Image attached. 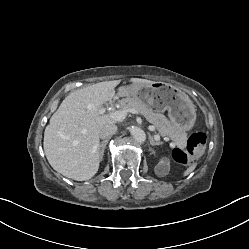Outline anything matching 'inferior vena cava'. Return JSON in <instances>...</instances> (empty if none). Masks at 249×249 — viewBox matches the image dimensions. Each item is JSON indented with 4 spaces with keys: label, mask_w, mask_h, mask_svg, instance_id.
Instances as JSON below:
<instances>
[{
    "label": "inferior vena cava",
    "mask_w": 249,
    "mask_h": 249,
    "mask_svg": "<svg viewBox=\"0 0 249 249\" xmlns=\"http://www.w3.org/2000/svg\"><path fill=\"white\" fill-rule=\"evenodd\" d=\"M116 132L117 126L115 124H106L100 129L99 137L101 139H109Z\"/></svg>",
    "instance_id": "1"
}]
</instances>
